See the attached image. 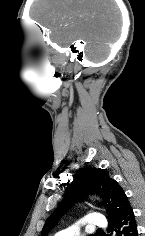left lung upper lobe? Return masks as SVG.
<instances>
[{
	"mask_svg": "<svg viewBox=\"0 0 145 236\" xmlns=\"http://www.w3.org/2000/svg\"><path fill=\"white\" fill-rule=\"evenodd\" d=\"M88 193H97L102 196L104 201L102 204L107 205L108 208V222L122 215L131 207L122 187L109 176L105 169L82 168L76 172L72 183L68 185L61 204L47 219L41 236H46L68 209L74 203L82 201ZM90 236H95V234Z\"/></svg>",
	"mask_w": 145,
	"mask_h": 236,
	"instance_id": "1",
	"label": "left lung upper lobe"
}]
</instances>
